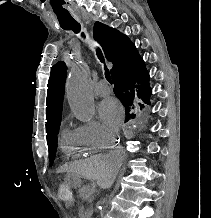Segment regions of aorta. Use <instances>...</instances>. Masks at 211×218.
<instances>
[{
    "label": "aorta",
    "instance_id": "obj_1",
    "mask_svg": "<svg viewBox=\"0 0 211 218\" xmlns=\"http://www.w3.org/2000/svg\"><path fill=\"white\" fill-rule=\"evenodd\" d=\"M67 99L75 117L82 122H90L94 115V98L89 81V71L85 63H77L67 80Z\"/></svg>",
    "mask_w": 211,
    "mask_h": 218
}]
</instances>
